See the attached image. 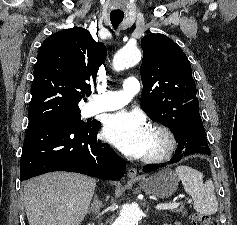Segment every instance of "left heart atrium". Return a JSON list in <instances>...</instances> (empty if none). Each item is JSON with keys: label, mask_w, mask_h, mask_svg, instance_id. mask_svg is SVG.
I'll use <instances>...</instances> for the list:
<instances>
[{"label": "left heart atrium", "mask_w": 237, "mask_h": 225, "mask_svg": "<svg viewBox=\"0 0 237 225\" xmlns=\"http://www.w3.org/2000/svg\"><path fill=\"white\" fill-rule=\"evenodd\" d=\"M149 133L145 119L139 113L128 111L110 115L103 128L105 139L131 157L146 154Z\"/></svg>", "instance_id": "left-heart-atrium-1"}]
</instances>
